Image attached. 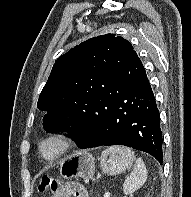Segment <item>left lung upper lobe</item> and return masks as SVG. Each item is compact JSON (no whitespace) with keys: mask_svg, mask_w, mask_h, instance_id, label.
<instances>
[{"mask_svg":"<svg viewBox=\"0 0 191 197\" xmlns=\"http://www.w3.org/2000/svg\"><path fill=\"white\" fill-rule=\"evenodd\" d=\"M144 67L132 45L114 34L88 39L60 56L52 68L37 107L46 111L47 132L75 133L81 119L130 73Z\"/></svg>","mask_w":191,"mask_h":197,"instance_id":"5c2ea615","label":"left lung upper lobe"}]
</instances>
